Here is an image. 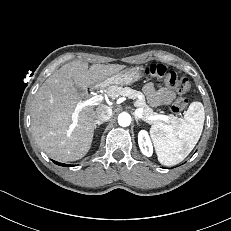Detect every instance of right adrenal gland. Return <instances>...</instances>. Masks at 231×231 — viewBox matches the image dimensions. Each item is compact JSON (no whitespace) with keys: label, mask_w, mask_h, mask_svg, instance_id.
Returning <instances> with one entry per match:
<instances>
[{"label":"right adrenal gland","mask_w":231,"mask_h":231,"mask_svg":"<svg viewBox=\"0 0 231 231\" xmlns=\"http://www.w3.org/2000/svg\"><path fill=\"white\" fill-rule=\"evenodd\" d=\"M102 122H95L94 129L96 130L98 126L102 125Z\"/></svg>","instance_id":"2a0ac1e0"}]
</instances>
